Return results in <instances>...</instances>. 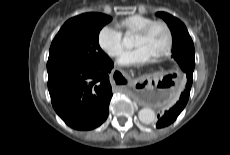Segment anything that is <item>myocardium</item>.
Instances as JSON below:
<instances>
[{"instance_id": "1", "label": "myocardium", "mask_w": 230, "mask_h": 155, "mask_svg": "<svg viewBox=\"0 0 230 155\" xmlns=\"http://www.w3.org/2000/svg\"><path fill=\"white\" fill-rule=\"evenodd\" d=\"M156 26H162L166 30L167 38H168L165 48L158 55L155 56V59H161V58L168 56L171 53L173 46H174V34H173V31H172L170 25L167 22L162 21V20L153 21V22L149 23L148 25H146L141 30H139L136 33V35L145 37Z\"/></svg>"}]
</instances>
